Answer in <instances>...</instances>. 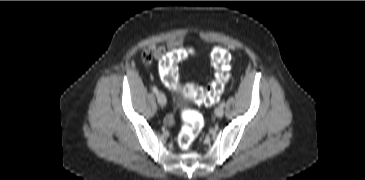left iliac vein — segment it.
<instances>
[{
	"label": "left iliac vein",
	"mask_w": 365,
	"mask_h": 180,
	"mask_svg": "<svg viewBox=\"0 0 365 180\" xmlns=\"http://www.w3.org/2000/svg\"><path fill=\"white\" fill-rule=\"evenodd\" d=\"M224 114V109L222 106H218L216 109H215V115L217 117H222Z\"/></svg>",
	"instance_id": "1"
}]
</instances>
